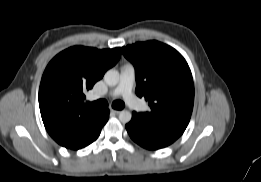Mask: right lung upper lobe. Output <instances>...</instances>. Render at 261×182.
I'll return each instance as SVG.
<instances>
[{
  "label": "right lung upper lobe",
  "mask_w": 261,
  "mask_h": 182,
  "mask_svg": "<svg viewBox=\"0 0 261 182\" xmlns=\"http://www.w3.org/2000/svg\"><path fill=\"white\" fill-rule=\"evenodd\" d=\"M120 48L98 50L74 46L47 65L39 88V107L49 135L61 146H73L100 110L89 108L84 93L113 67Z\"/></svg>",
  "instance_id": "right-lung-upper-lobe-1"
}]
</instances>
